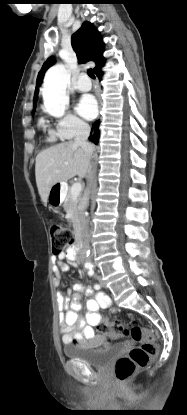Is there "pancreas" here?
Here are the masks:
<instances>
[{"mask_svg":"<svg viewBox=\"0 0 187 415\" xmlns=\"http://www.w3.org/2000/svg\"><path fill=\"white\" fill-rule=\"evenodd\" d=\"M78 198H74L71 194V188L68 189L64 203L63 208L66 212H70L72 215V222L73 227H77L79 223V210H78Z\"/></svg>","mask_w":187,"mask_h":415,"instance_id":"1","label":"pancreas"}]
</instances>
